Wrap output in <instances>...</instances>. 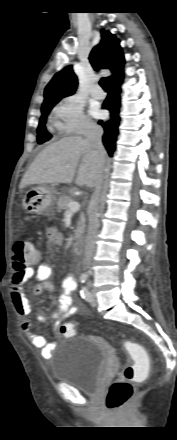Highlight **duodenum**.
Masks as SVG:
<instances>
[{
  "label": "duodenum",
  "mask_w": 177,
  "mask_h": 440,
  "mask_svg": "<svg viewBox=\"0 0 177 440\" xmlns=\"http://www.w3.org/2000/svg\"><path fill=\"white\" fill-rule=\"evenodd\" d=\"M83 248H84V244L82 238H77L73 244V251L76 254H82Z\"/></svg>",
  "instance_id": "duodenum-1"
}]
</instances>
